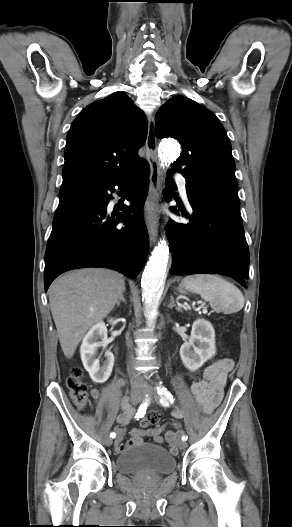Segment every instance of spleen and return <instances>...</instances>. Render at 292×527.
Instances as JSON below:
<instances>
[{
  "label": "spleen",
  "instance_id": "3e777b00",
  "mask_svg": "<svg viewBox=\"0 0 292 527\" xmlns=\"http://www.w3.org/2000/svg\"><path fill=\"white\" fill-rule=\"evenodd\" d=\"M180 286L199 294L215 310L234 313L240 311L244 306L241 291L217 275L186 276Z\"/></svg>",
  "mask_w": 292,
  "mask_h": 527
}]
</instances>
